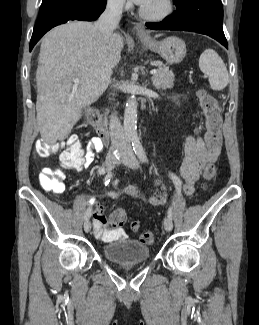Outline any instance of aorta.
I'll list each match as a JSON object with an SVG mask.
<instances>
[{"label": "aorta", "instance_id": "obj_1", "mask_svg": "<svg viewBox=\"0 0 259 325\" xmlns=\"http://www.w3.org/2000/svg\"><path fill=\"white\" fill-rule=\"evenodd\" d=\"M124 132L126 139L132 142L134 148H138L140 142L137 134V101L135 96H131L126 103Z\"/></svg>", "mask_w": 259, "mask_h": 325}]
</instances>
